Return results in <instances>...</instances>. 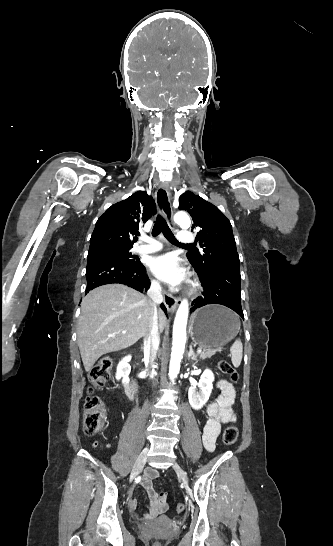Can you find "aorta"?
<instances>
[{"mask_svg": "<svg viewBox=\"0 0 333 546\" xmlns=\"http://www.w3.org/2000/svg\"><path fill=\"white\" fill-rule=\"evenodd\" d=\"M174 221L183 228H188L191 224L190 218L185 212L176 213ZM188 312V301L184 299L177 310L173 326V343L169 366V378L171 381H174L177 378L180 371V364L186 343Z\"/></svg>", "mask_w": 333, "mask_h": 546, "instance_id": "1", "label": "aorta"}]
</instances>
